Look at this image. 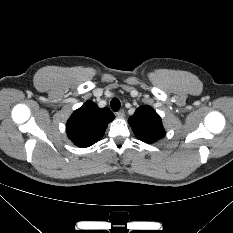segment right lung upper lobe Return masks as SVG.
<instances>
[{
    "label": "right lung upper lobe",
    "instance_id": "cb5924a9",
    "mask_svg": "<svg viewBox=\"0 0 233 233\" xmlns=\"http://www.w3.org/2000/svg\"><path fill=\"white\" fill-rule=\"evenodd\" d=\"M114 118L108 108H99L94 102L87 101L70 116L66 132L75 145L89 147L103 137L108 123Z\"/></svg>",
    "mask_w": 233,
    "mask_h": 233
}]
</instances>
